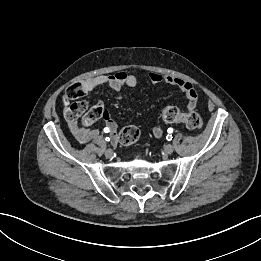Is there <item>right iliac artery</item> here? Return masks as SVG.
I'll return each mask as SVG.
<instances>
[{"instance_id":"1","label":"right iliac artery","mask_w":261,"mask_h":261,"mask_svg":"<svg viewBox=\"0 0 261 261\" xmlns=\"http://www.w3.org/2000/svg\"><path fill=\"white\" fill-rule=\"evenodd\" d=\"M104 131H105V132H109V129L105 128ZM105 140L109 142V141H110V138H109V137H106Z\"/></svg>"}]
</instances>
